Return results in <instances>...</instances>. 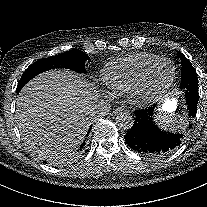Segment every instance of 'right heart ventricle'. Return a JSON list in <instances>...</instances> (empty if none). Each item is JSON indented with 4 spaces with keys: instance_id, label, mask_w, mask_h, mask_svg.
<instances>
[{
    "instance_id": "right-heart-ventricle-1",
    "label": "right heart ventricle",
    "mask_w": 207,
    "mask_h": 207,
    "mask_svg": "<svg viewBox=\"0 0 207 207\" xmlns=\"http://www.w3.org/2000/svg\"><path fill=\"white\" fill-rule=\"evenodd\" d=\"M159 58L154 54L141 53L108 64L102 72L106 92L113 97L127 96L139 84L143 72Z\"/></svg>"
}]
</instances>
